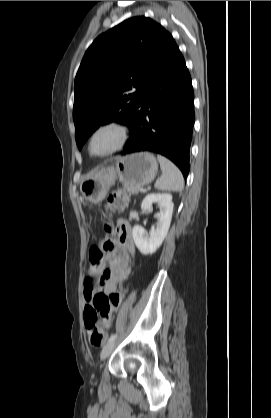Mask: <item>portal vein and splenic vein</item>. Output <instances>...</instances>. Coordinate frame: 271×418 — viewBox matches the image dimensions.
Returning a JSON list of instances; mask_svg holds the SVG:
<instances>
[{"label": "portal vein and splenic vein", "mask_w": 271, "mask_h": 418, "mask_svg": "<svg viewBox=\"0 0 271 418\" xmlns=\"http://www.w3.org/2000/svg\"><path fill=\"white\" fill-rule=\"evenodd\" d=\"M140 191H144V189L143 188H141V190Z\"/></svg>", "instance_id": "obj_1"}]
</instances>
